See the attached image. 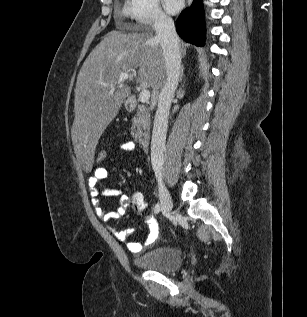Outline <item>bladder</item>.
<instances>
[{"label": "bladder", "mask_w": 307, "mask_h": 317, "mask_svg": "<svg viewBox=\"0 0 307 317\" xmlns=\"http://www.w3.org/2000/svg\"><path fill=\"white\" fill-rule=\"evenodd\" d=\"M133 262L142 269L171 272L182 267L183 259L177 248L159 247L135 257Z\"/></svg>", "instance_id": "1"}]
</instances>
